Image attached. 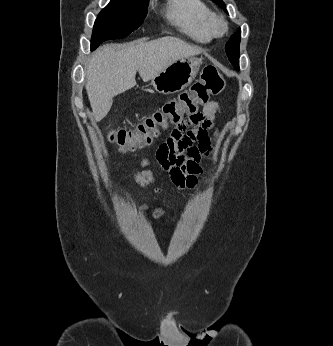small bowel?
Instances as JSON below:
<instances>
[{
  "label": "small bowel",
  "instance_id": "small-bowel-1",
  "mask_svg": "<svg viewBox=\"0 0 333 346\" xmlns=\"http://www.w3.org/2000/svg\"><path fill=\"white\" fill-rule=\"evenodd\" d=\"M220 111L218 102L207 103L199 119L191 117L181 121L158 147L156 159L179 189H191L197 185L198 175L202 173L201 163L212 150L209 132L214 130ZM193 142H197L198 146H193ZM148 163L147 159L142 160L144 166ZM134 177L143 186L155 179L154 174L148 171L134 172Z\"/></svg>",
  "mask_w": 333,
  "mask_h": 346
}]
</instances>
